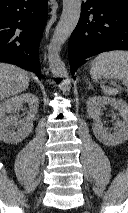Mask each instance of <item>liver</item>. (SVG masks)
<instances>
[{"label": "liver", "instance_id": "1", "mask_svg": "<svg viewBox=\"0 0 128 213\" xmlns=\"http://www.w3.org/2000/svg\"><path fill=\"white\" fill-rule=\"evenodd\" d=\"M29 77L23 69L0 63V100L21 93L29 87Z\"/></svg>", "mask_w": 128, "mask_h": 213}]
</instances>
